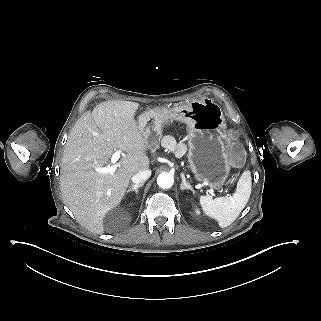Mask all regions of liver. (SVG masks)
<instances>
[{
	"mask_svg": "<svg viewBox=\"0 0 321 321\" xmlns=\"http://www.w3.org/2000/svg\"><path fill=\"white\" fill-rule=\"evenodd\" d=\"M139 103L105 101L73 126L61 160L60 190L79 224L104 233L106 213L122 200L131 177L149 169L147 140L134 119ZM114 150L126 152L113 174L95 168L109 164Z\"/></svg>",
	"mask_w": 321,
	"mask_h": 321,
	"instance_id": "liver-1",
	"label": "liver"
}]
</instances>
